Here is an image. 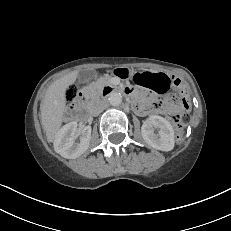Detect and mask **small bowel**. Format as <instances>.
Wrapping results in <instances>:
<instances>
[{"instance_id": "c3829d8e", "label": "small bowel", "mask_w": 231, "mask_h": 231, "mask_svg": "<svg viewBox=\"0 0 231 231\" xmlns=\"http://www.w3.org/2000/svg\"><path fill=\"white\" fill-rule=\"evenodd\" d=\"M177 79L171 75L153 72V71H142L137 74L136 83L140 86L150 89L151 91L162 94L168 91L170 88L178 87L176 84ZM132 93L133 90H130ZM169 106L168 109L172 112H178L180 110L179 106L172 99H168ZM142 105H139L137 108L140 113H149V112H164L163 110H146L141 109Z\"/></svg>"}]
</instances>
